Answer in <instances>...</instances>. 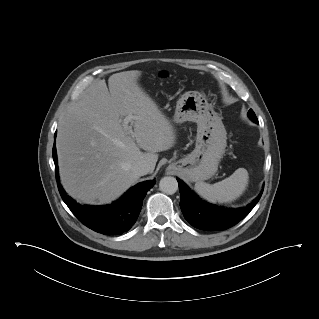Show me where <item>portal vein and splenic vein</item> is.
Instances as JSON below:
<instances>
[{"mask_svg":"<svg viewBox=\"0 0 319 319\" xmlns=\"http://www.w3.org/2000/svg\"><path fill=\"white\" fill-rule=\"evenodd\" d=\"M133 119V116L132 115H129L127 116L124 121H123V124L126 128L130 129V127L128 126V123Z\"/></svg>","mask_w":319,"mask_h":319,"instance_id":"obj_1","label":"portal vein and splenic vein"}]
</instances>
